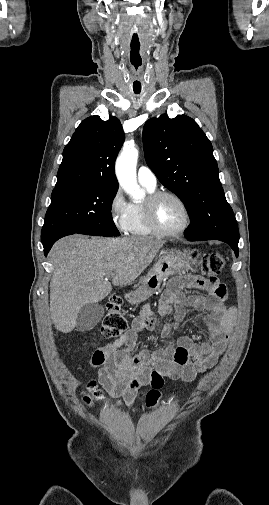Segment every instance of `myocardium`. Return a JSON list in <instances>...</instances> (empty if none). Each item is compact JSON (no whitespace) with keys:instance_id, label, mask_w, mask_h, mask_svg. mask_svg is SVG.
I'll use <instances>...</instances> for the list:
<instances>
[{"instance_id":"f54148a6","label":"myocardium","mask_w":269,"mask_h":505,"mask_svg":"<svg viewBox=\"0 0 269 505\" xmlns=\"http://www.w3.org/2000/svg\"><path fill=\"white\" fill-rule=\"evenodd\" d=\"M164 197H170L175 199L184 209L185 214H186V221L185 224L178 230L174 231H167L164 230L157 222L156 220V215H155V209L157 203ZM143 212L145 216L146 223L148 227L152 230L153 233L159 236L163 237H176L184 234L191 226L192 224V213L191 210L186 203V201L178 194L172 191L168 190H160V191H154L150 193L146 199L144 200L143 204Z\"/></svg>"}]
</instances>
